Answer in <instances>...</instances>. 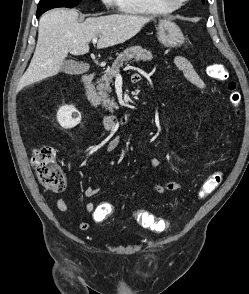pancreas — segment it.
Here are the masks:
<instances>
[{
  "label": "pancreas",
  "mask_w": 249,
  "mask_h": 294,
  "mask_svg": "<svg viewBox=\"0 0 249 294\" xmlns=\"http://www.w3.org/2000/svg\"><path fill=\"white\" fill-rule=\"evenodd\" d=\"M135 58L136 60L150 61L153 59V55L150 51L143 49L140 46L130 47L124 50L118 55L110 68L104 71V75L97 81L98 95L102 101V106L113 112L114 109H118L117 103L114 98H110L112 92L111 83L119 72V69L123 67V63Z\"/></svg>",
  "instance_id": "pancreas-1"
}]
</instances>
